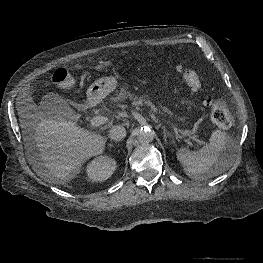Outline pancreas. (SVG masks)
Segmentation results:
<instances>
[{"label":"pancreas","instance_id":"1","mask_svg":"<svg viewBox=\"0 0 263 263\" xmlns=\"http://www.w3.org/2000/svg\"><path fill=\"white\" fill-rule=\"evenodd\" d=\"M118 96L121 100H125L129 98L130 100H135L138 104H141V105L144 104V105L150 106L153 112H157V108L145 96H142V97L134 96L130 92L126 91L125 89H122Z\"/></svg>","mask_w":263,"mask_h":263}]
</instances>
